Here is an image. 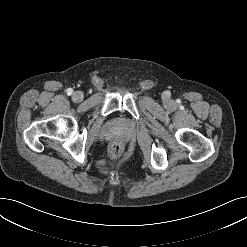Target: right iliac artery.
Here are the masks:
<instances>
[{"label": "right iliac artery", "mask_w": 247, "mask_h": 247, "mask_svg": "<svg viewBox=\"0 0 247 247\" xmlns=\"http://www.w3.org/2000/svg\"><path fill=\"white\" fill-rule=\"evenodd\" d=\"M66 92H67V94H68V95H72V93H73V89L68 88V89L66 90Z\"/></svg>", "instance_id": "right-iliac-artery-1"}]
</instances>
